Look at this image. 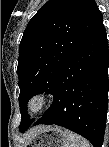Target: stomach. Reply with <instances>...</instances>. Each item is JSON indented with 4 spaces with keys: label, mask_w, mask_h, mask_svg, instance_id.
<instances>
[{
    "label": "stomach",
    "mask_w": 109,
    "mask_h": 147,
    "mask_svg": "<svg viewBox=\"0 0 109 147\" xmlns=\"http://www.w3.org/2000/svg\"><path fill=\"white\" fill-rule=\"evenodd\" d=\"M67 130L58 126H48L27 139L24 147H65Z\"/></svg>",
    "instance_id": "0dacf381"
}]
</instances>
